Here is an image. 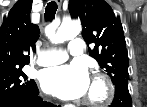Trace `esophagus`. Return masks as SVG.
<instances>
[{"label":"esophagus","instance_id":"34e87169","mask_svg":"<svg viewBox=\"0 0 147 107\" xmlns=\"http://www.w3.org/2000/svg\"><path fill=\"white\" fill-rule=\"evenodd\" d=\"M58 6H61L62 0H55Z\"/></svg>","mask_w":147,"mask_h":107}]
</instances>
